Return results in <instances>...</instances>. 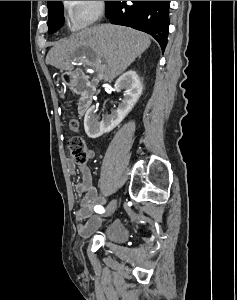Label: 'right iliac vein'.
Masks as SVG:
<instances>
[{
  "instance_id": "63e3f726",
  "label": "right iliac vein",
  "mask_w": 237,
  "mask_h": 300,
  "mask_svg": "<svg viewBox=\"0 0 237 300\" xmlns=\"http://www.w3.org/2000/svg\"><path fill=\"white\" fill-rule=\"evenodd\" d=\"M117 207V201L112 200L109 205L106 207L105 213L103 214L104 217L110 216L112 213H114L115 209Z\"/></svg>"
}]
</instances>
